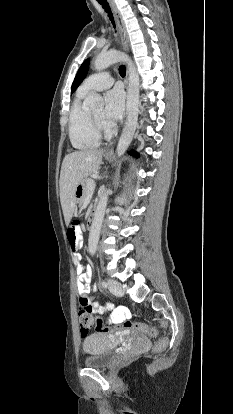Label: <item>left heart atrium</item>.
<instances>
[{"label": "left heart atrium", "mask_w": 233, "mask_h": 414, "mask_svg": "<svg viewBox=\"0 0 233 414\" xmlns=\"http://www.w3.org/2000/svg\"><path fill=\"white\" fill-rule=\"evenodd\" d=\"M125 95L121 88L109 90L105 95L104 119L109 125L118 121L124 112Z\"/></svg>", "instance_id": "left-heart-atrium-1"}]
</instances>
